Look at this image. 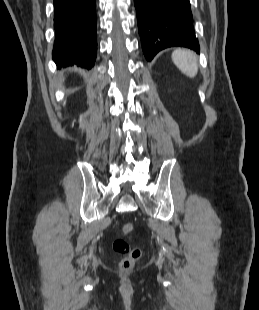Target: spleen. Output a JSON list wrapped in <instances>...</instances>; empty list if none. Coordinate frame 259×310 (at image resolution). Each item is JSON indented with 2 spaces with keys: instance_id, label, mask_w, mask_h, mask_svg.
Here are the masks:
<instances>
[{
  "instance_id": "1",
  "label": "spleen",
  "mask_w": 259,
  "mask_h": 310,
  "mask_svg": "<svg viewBox=\"0 0 259 310\" xmlns=\"http://www.w3.org/2000/svg\"><path fill=\"white\" fill-rule=\"evenodd\" d=\"M172 61L177 68L186 76L193 78L198 72V64L196 55L186 49H176L172 53Z\"/></svg>"
}]
</instances>
